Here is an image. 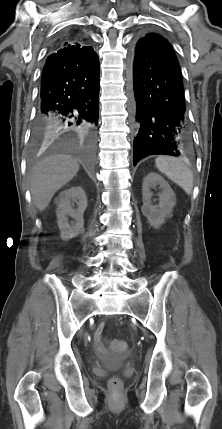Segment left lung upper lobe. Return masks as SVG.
Segmentation results:
<instances>
[{"mask_svg": "<svg viewBox=\"0 0 222 429\" xmlns=\"http://www.w3.org/2000/svg\"><path fill=\"white\" fill-rule=\"evenodd\" d=\"M151 36H158V37H159V34H156V33H147V34L142 35V36L139 38V40L141 41V40H143V39H147L148 37H151Z\"/></svg>", "mask_w": 222, "mask_h": 429, "instance_id": "5c2ea615", "label": "left lung upper lobe"}]
</instances>
